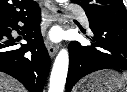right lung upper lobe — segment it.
<instances>
[{
  "label": "right lung upper lobe",
  "mask_w": 127,
  "mask_h": 92,
  "mask_svg": "<svg viewBox=\"0 0 127 92\" xmlns=\"http://www.w3.org/2000/svg\"><path fill=\"white\" fill-rule=\"evenodd\" d=\"M37 6L33 0H0V24L23 17Z\"/></svg>",
  "instance_id": "right-lung-upper-lobe-1"
}]
</instances>
